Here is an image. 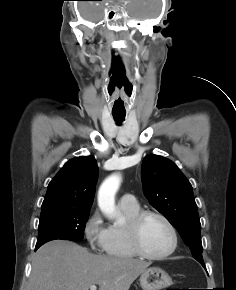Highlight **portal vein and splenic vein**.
<instances>
[{
	"instance_id": "obj_1",
	"label": "portal vein and splenic vein",
	"mask_w": 236,
	"mask_h": 290,
	"mask_svg": "<svg viewBox=\"0 0 236 290\" xmlns=\"http://www.w3.org/2000/svg\"><path fill=\"white\" fill-rule=\"evenodd\" d=\"M97 289V286L96 285H91L90 286V290H96Z\"/></svg>"
}]
</instances>
